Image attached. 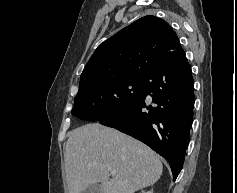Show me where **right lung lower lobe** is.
Returning <instances> with one entry per match:
<instances>
[{"label": "right lung lower lobe", "mask_w": 237, "mask_h": 193, "mask_svg": "<svg viewBox=\"0 0 237 193\" xmlns=\"http://www.w3.org/2000/svg\"><path fill=\"white\" fill-rule=\"evenodd\" d=\"M193 106L194 80L181 49L144 77L139 95L130 104L98 121L142 141L163 156L175 180L189 142Z\"/></svg>", "instance_id": "1"}]
</instances>
